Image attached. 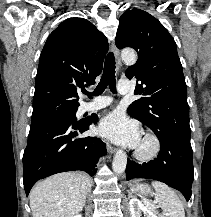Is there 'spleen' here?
I'll return each instance as SVG.
<instances>
[{"instance_id": "obj_1", "label": "spleen", "mask_w": 211, "mask_h": 217, "mask_svg": "<svg viewBox=\"0 0 211 217\" xmlns=\"http://www.w3.org/2000/svg\"><path fill=\"white\" fill-rule=\"evenodd\" d=\"M152 185L156 191L155 202L159 204V207H161L165 213H168L170 217H185L183 204L174 190L159 181H153ZM145 204L150 210L156 212L155 203L145 200ZM160 217H164V214L160 215Z\"/></svg>"}]
</instances>
